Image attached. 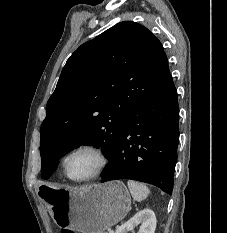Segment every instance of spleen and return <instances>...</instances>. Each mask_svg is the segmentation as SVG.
Segmentation results:
<instances>
[{"mask_svg": "<svg viewBox=\"0 0 227 233\" xmlns=\"http://www.w3.org/2000/svg\"><path fill=\"white\" fill-rule=\"evenodd\" d=\"M127 185L133 199L138 202H141L142 200L146 199L150 193L148 187L143 183L133 180H128Z\"/></svg>", "mask_w": 227, "mask_h": 233, "instance_id": "obj_1", "label": "spleen"}]
</instances>
